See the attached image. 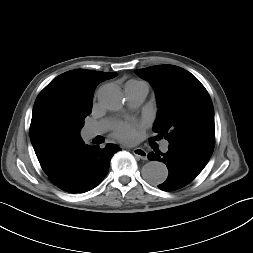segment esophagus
Returning a JSON list of instances; mask_svg holds the SVG:
<instances>
[{
	"label": "esophagus",
	"instance_id": "esophagus-1",
	"mask_svg": "<svg viewBox=\"0 0 253 253\" xmlns=\"http://www.w3.org/2000/svg\"><path fill=\"white\" fill-rule=\"evenodd\" d=\"M132 152H133V154H134L136 157H138V158H140V159H142V160H147V155H148V153H147V151L144 150L143 148H141V147L134 148Z\"/></svg>",
	"mask_w": 253,
	"mask_h": 253
}]
</instances>
